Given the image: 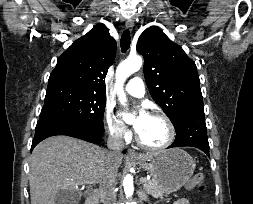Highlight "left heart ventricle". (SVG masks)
<instances>
[{
	"label": "left heart ventricle",
	"mask_w": 253,
	"mask_h": 204,
	"mask_svg": "<svg viewBox=\"0 0 253 204\" xmlns=\"http://www.w3.org/2000/svg\"><path fill=\"white\" fill-rule=\"evenodd\" d=\"M139 137L149 145H161L168 138V128L163 120L148 116L140 130Z\"/></svg>",
	"instance_id": "left-heart-ventricle-1"
}]
</instances>
